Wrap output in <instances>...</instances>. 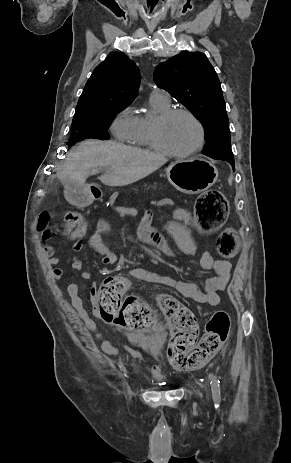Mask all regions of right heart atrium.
<instances>
[{
	"label": "right heart atrium",
	"instance_id": "obj_1",
	"mask_svg": "<svg viewBox=\"0 0 291 463\" xmlns=\"http://www.w3.org/2000/svg\"><path fill=\"white\" fill-rule=\"evenodd\" d=\"M136 129V120L131 107L119 112L111 123V131L122 142H132Z\"/></svg>",
	"mask_w": 291,
	"mask_h": 463
}]
</instances>
